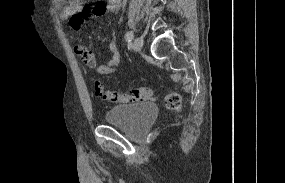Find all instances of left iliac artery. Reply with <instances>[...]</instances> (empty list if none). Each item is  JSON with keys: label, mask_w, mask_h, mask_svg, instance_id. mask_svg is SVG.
Returning <instances> with one entry per match:
<instances>
[{"label": "left iliac artery", "mask_w": 285, "mask_h": 183, "mask_svg": "<svg viewBox=\"0 0 285 183\" xmlns=\"http://www.w3.org/2000/svg\"><path fill=\"white\" fill-rule=\"evenodd\" d=\"M134 38V34L132 31H128L126 34H125V40L128 41V42H131Z\"/></svg>", "instance_id": "left-iliac-artery-1"}]
</instances>
